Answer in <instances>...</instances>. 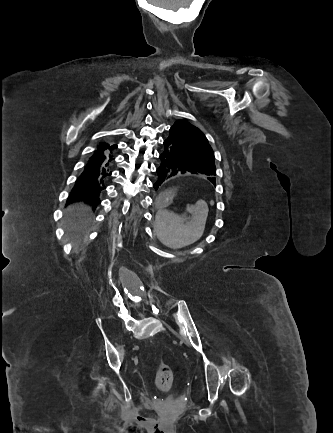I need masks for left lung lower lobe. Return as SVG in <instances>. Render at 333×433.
<instances>
[{"label": "left lung lower lobe", "mask_w": 333, "mask_h": 433, "mask_svg": "<svg viewBox=\"0 0 333 433\" xmlns=\"http://www.w3.org/2000/svg\"><path fill=\"white\" fill-rule=\"evenodd\" d=\"M160 166L157 169L158 180L153 184L155 190L160 189L167 180L180 174L216 175V168L192 155L177 144L169 140L163 142ZM210 180L215 183L214 178Z\"/></svg>", "instance_id": "0a47b994"}]
</instances>
